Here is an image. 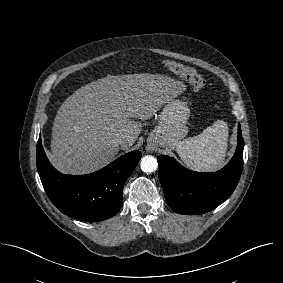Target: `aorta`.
<instances>
[{
    "instance_id": "1",
    "label": "aorta",
    "mask_w": 283,
    "mask_h": 283,
    "mask_svg": "<svg viewBox=\"0 0 283 283\" xmlns=\"http://www.w3.org/2000/svg\"><path fill=\"white\" fill-rule=\"evenodd\" d=\"M140 166L143 172L151 173L157 170L158 162L155 157L146 155L141 159Z\"/></svg>"
}]
</instances>
